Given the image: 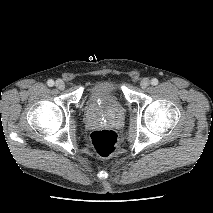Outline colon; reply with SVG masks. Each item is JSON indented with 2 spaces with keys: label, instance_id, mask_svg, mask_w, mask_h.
<instances>
[{
  "label": "colon",
  "instance_id": "colon-1",
  "mask_svg": "<svg viewBox=\"0 0 213 213\" xmlns=\"http://www.w3.org/2000/svg\"><path fill=\"white\" fill-rule=\"evenodd\" d=\"M90 143L98 156L109 158L116 152L119 139L111 129H98L90 134Z\"/></svg>",
  "mask_w": 213,
  "mask_h": 213
}]
</instances>
